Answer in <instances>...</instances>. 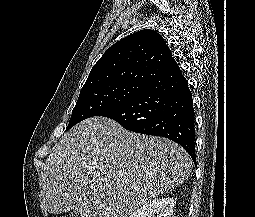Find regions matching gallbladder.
Returning a JSON list of instances; mask_svg holds the SVG:
<instances>
[{"label":"gallbladder","mask_w":255,"mask_h":217,"mask_svg":"<svg viewBox=\"0 0 255 217\" xmlns=\"http://www.w3.org/2000/svg\"><path fill=\"white\" fill-rule=\"evenodd\" d=\"M69 214H70V217H83L80 213H77L74 211L69 212Z\"/></svg>","instance_id":"gallbladder-1"}]
</instances>
